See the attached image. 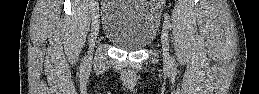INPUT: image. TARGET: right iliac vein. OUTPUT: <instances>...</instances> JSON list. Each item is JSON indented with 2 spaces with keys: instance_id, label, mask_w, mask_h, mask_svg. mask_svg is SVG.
I'll use <instances>...</instances> for the list:
<instances>
[{
  "instance_id": "63e3f726",
  "label": "right iliac vein",
  "mask_w": 259,
  "mask_h": 94,
  "mask_svg": "<svg viewBox=\"0 0 259 94\" xmlns=\"http://www.w3.org/2000/svg\"><path fill=\"white\" fill-rule=\"evenodd\" d=\"M98 32H99V15H98V9L95 8L93 22H92V28H91L90 48H89V53H88L89 58L92 57L93 48H94V45H95V42H96V39L98 36Z\"/></svg>"
}]
</instances>
